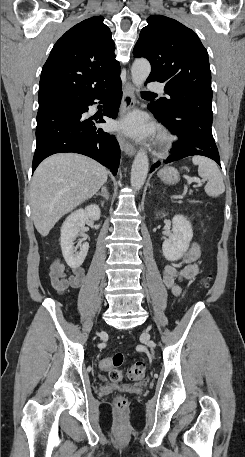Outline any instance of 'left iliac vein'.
<instances>
[{"mask_svg":"<svg viewBox=\"0 0 245 457\" xmlns=\"http://www.w3.org/2000/svg\"><path fill=\"white\" fill-rule=\"evenodd\" d=\"M144 339H145V341H148V339H149V335H148V332H147V331H145Z\"/></svg>","mask_w":245,"mask_h":457,"instance_id":"obj_1","label":"left iliac vein"}]
</instances>
